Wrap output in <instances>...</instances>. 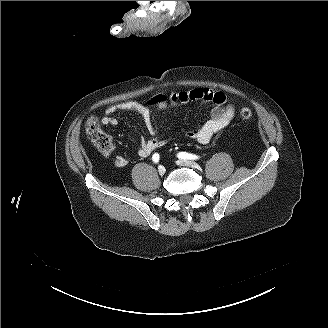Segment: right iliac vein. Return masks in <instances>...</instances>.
<instances>
[{"label": "right iliac vein", "mask_w": 328, "mask_h": 328, "mask_svg": "<svg viewBox=\"0 0 328 328\" xmlns=\"http://www.w3.org/2000/svg\"><path fill=\"white\" fill-rule=\"evenodd\" d=\"M158 172H159V174L160 175H164L165 173H166V169H165V167L164 166H159L158 167Z\"/></svg>", "instance_id": "1"}]
</instances>
